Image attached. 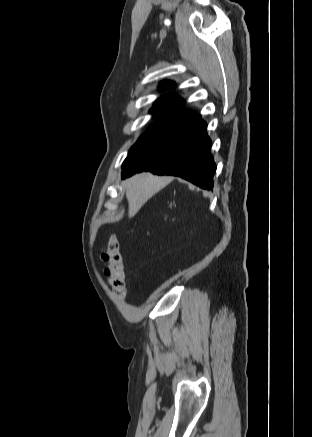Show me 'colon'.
Instances as JSON below:
<instances>
[{
    "label": "colon",
    "instance_id": "5ec220e1",
    "mask_svg": "<svg viewBox=\"0 0 312 437\" xmlns=\"http://www.w3.org/2000/svg\"><path fill=\"white\" fill-rule=\"evenodd\" d=\"M102 260L106 263L104 273L110 290L119 298H124L128 290V274L124 255L116 237L112 236L107 241L102 252Z\"/></svg>",
    "mask_w": 312,
    "mask_h": 437
}]
</instances>
